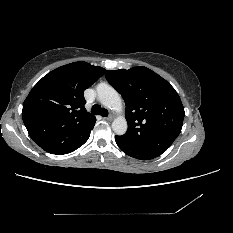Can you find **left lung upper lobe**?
Segmentation results:
<instances>
[{"instance_id":"1","label":"left lung upper lobe","mask_w":233,"mask_h":233,"mask_svg":"<svg viewBox=\"0 0 233 233\" xmlns=\"http://www.w3.org/2000/svg\"><path fill=\"white\" fill-rule=\"evenodd\" d=\"M105 76L126 104L128 130L121 139L138 150L163 154L183 125L185 113L176 90L144 66L106 70Z\"/></svg>"}]
</instances>
